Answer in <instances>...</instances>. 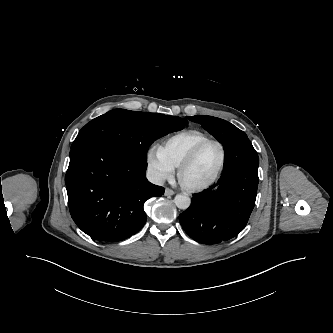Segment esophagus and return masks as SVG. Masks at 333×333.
Listing matches in <instances>:
<instances>
[{"label": "esophagus", "mask_w": 333, "mask_h": 333, "mask_svg": "<svg viewBox=\"0 0 333 333\" xmlns=\"http://www.w3.org/2000/svg\"><path fill=\"white\" fill-rule=\"evenodd\" d=\"M174 194H175V192L172 189H170V188L165 189V193H164L165 196H172Z\"/></svg>", "instance_id": "34e87169"}]
</instances>
